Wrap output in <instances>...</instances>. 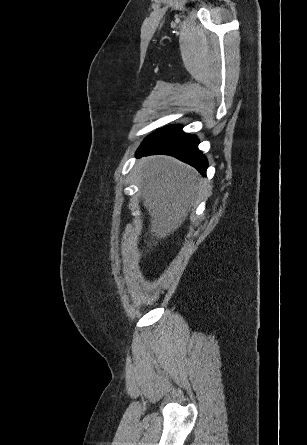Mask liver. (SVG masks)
<instances>
[{
    "instance_id": "obj_1",
    "label": "liver",
    "mask_w": 307,
    "mask_h": 445,
    "mask_svg": "<svg viewBox=\"0 0 307 445\" xmlns=\"http://www.w3.org/2000/svg\"><path fill=\"white\" fill-rule=\"evenodd\" d=\"M139 174L143 204L151 216V239H157L152 241L156 247L158 241L183 225L187 212L198 204L206 186L192 166L171 156L147 158ZM123 245L126 249L128 241Z\"/></svg>"
}]
</instances>
